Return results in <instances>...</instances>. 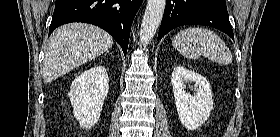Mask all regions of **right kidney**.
I'll return each instance as SVG.
<instances>
[{
  "label": "right kidney",
  "mask_w": 280,
  "mask_h": 137,
  "mask_svg": "<svg viewBox=\"0 0 280 137\" xmlns=\"http://www.w3.org/2000/svg\"><path fill=\"white\" fill-rule=\"evenodd\" d=\"M108 90V74L103 66L87 69L75 78L68 96L80 127L91 129L98 122Z\"/></svg>",
  "instance_id": "ca27d5eb"
}]
</instances>
